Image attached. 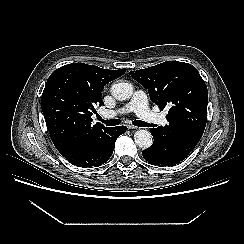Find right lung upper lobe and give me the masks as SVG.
I'll use <instances>...</instances> for the list:
<instances>
[{"mask_svg":"<svg viewBox=\"0 0 244 244\" xmlns=\"http://www.w3.org/2000/svg\"><path fill=\"white\" fill-rule=\"evenodd\" d=\"M126 69L109 70L72 63L55 70L48 78L41 106L51 139L64 154L72 148L95 142L109 127L92 125L95 106H101L103 87Z\"/></svg>","mask_w":244,"mask_h":244,"instance_id":"obj_1","label":"right lung upper lobe"}]
</instances>
